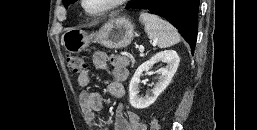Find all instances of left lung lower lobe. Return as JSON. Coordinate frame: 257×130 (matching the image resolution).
Instances as JSON below:
<instances>
[{
    "instance_id": "obj_1",
    "label": "left lung lower lobe",
    "mask_w": 257,
    "mask_h": 130,
    "mask_svg": "<svg viewBox=\"0 0 257 130\" xmlns=\"http://www.w3.org/2000/svg\"><path fill=\"white\" fill-rule=\"evenodd\" d=\"M129 8L144 9L173 24L194 50L198 31L199 0H140Z\"/></svg>"
}]
</instances>
